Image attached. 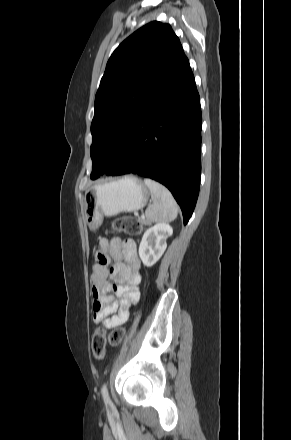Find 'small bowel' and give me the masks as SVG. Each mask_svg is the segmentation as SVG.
<instances>
[{
	"instance_id": "c3829d8e",
	"label": "small bowel",
	"mask_w": 291,
	"mask_h": 440,
	"mask_svg": "<svg viewBox=\"0 0 291 440\" xmlns=\"http://www.w3.org/2000/svg\"><path fill=\"white\" fill-rule=\"evenodd\" d=\"M113 259L114 264L109 265ZM139 258L136 242L102 238L90 273L93 292V320L106 329L124 324L140 298ZM112 291L113 294L106 293Z\"/></svg>"
}]
</instances>
